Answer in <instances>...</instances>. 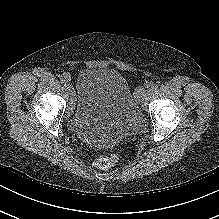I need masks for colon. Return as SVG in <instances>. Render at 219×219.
Instances as JSON below:
<instances>
[{
    "label": "colon",
    "mask_w": 219,
    "mask_h": 219,
    "mask_svg": "<svg viewBox=\"0 0 219 219\" xmlns=\"http://www.w3.org/2000/svg\"><path fill=\"white\" fill-rule=\"evenodd\" d=\"M119 162L117 154H110L107 156H100L95 160V166L101 170H108L114 167Z\"/></svg>",
    "instance_id": "5ec220e1"
}]
</instances>
